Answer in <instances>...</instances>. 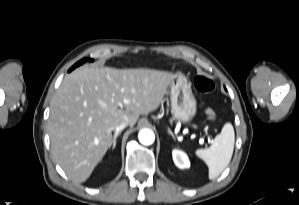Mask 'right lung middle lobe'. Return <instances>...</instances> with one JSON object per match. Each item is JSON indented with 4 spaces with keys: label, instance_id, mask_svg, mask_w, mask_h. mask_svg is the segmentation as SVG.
<instances>
[{
    "label": "right lung middle lobe",
    "instance_id": "right-lung-middle-lobe-1",
    "mask_svg": "<svg viewBox=\"0 0 299 205\" xmlns=\"http://www.w3.org/2000/svg\"><path fill=\"white\" fill-rule=\"evenodd\" d=\"M86 61H93V60H92L91 58H84V59H82L81 61L77 62V63L71 68V70H73V69L76 68L77 66L83 64V63L86 62Z\"/></svg>",
    "mask_w": 299,
    "mask_h": 205
}]
</instances>
